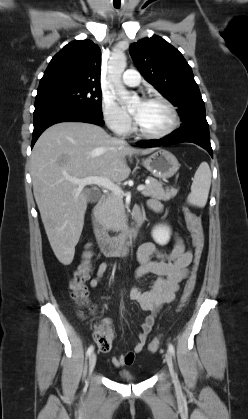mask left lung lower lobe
I'll list each match as a JSON object with an SVG mask.
<instances>
[{"label":"left lung lower lobe","mask_w":248,"mask_h":419,"mask_svg":"<svg viewBox=\"0 0 248 419\" xmlns=\"http://www.w3.org/2000/svg\"><path fill=\"white\" fill-rule=\"evenodd\" d=\"M182 142L195 143L207 150L211 157H213V151L210 144L209 125L206 116H196L192 118L188 122L183 123L179 129L164 138L137 142V145L149 148Z\"/></svg>","instance_id":"0a47b994"}]
</instances>
